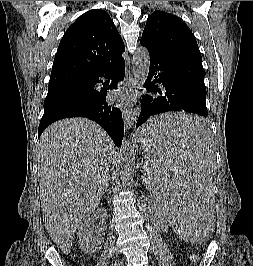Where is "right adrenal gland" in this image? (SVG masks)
Instances as JSON below:
<instances>
[{
    "label": "right adrenal gland",
    "instance_id": "1",
    "mask_svg": "<svg viewBox=\"0 0 253 266\" xmlns=\"http://www.w3.org/2000/svg\"><path fill=\"white\" fill-rule=\"evenodd\" d=\"M109 181H110V177L107 175L106 179H105V183H104V191L103 193L106 192L108 185H109Z\"/></svg>",
    "mask_w": 253,
    "mask_h": 266
}]
</instances>
